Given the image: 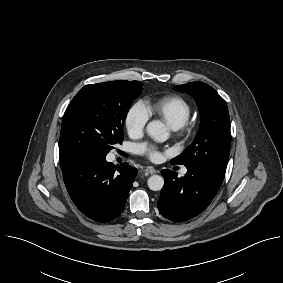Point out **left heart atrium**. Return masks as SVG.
I'll use <instances>...</instances> for the list:
<instances>
[{
    "label": "left heart atrium",
    "instance_id": "39dd6f15",
    "mask_svg": "<svg viewBox=\"0 0 283 283\" xmlns=\"http://www.w3.org/2000/svg\"><path fill=\"white\" fill-rule=\"evenodd\" d=\"M139 152L152 161H157L161 157L159 149L153 145L142 144L139 146Z\"/></svg>",
    "mask_w": 283,
    "mask_h": 283
}]
</instances>
